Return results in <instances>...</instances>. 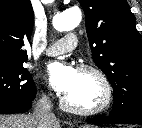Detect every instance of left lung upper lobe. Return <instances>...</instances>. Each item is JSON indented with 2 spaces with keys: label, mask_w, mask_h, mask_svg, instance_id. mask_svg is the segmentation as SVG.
<instances>
[{
  "label": "left lung upper lobe",
  "mask_w": 142,
  "mask_h": 128,
  "mask_svg": "<svg viewBox=\"0 0 142 128\" xmlns=\"http://www.w3.org/2000/svg\"><path fill=\"white\" fill-rule=\"evenodd\" d=\"M92 57L113 87L112 114L142 110V46L125 0H78Z\"/></svg>",
  "instance_id": "1"
}]
</instances>
